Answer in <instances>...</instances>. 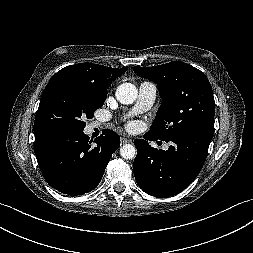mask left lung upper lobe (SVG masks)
I'll return each instance as SVG.
<instances>
[{
	"label": "left lung upper lobe",
	"mask_w": 253,
	"mask_h": 253,
	"mask_svg": "<svg viewBox=\"0 0 253 253\" xmlns=\"http://www.w3.org/2000/svg\"><path fill=\"white\" fill-rule=\"evenodd\" d=\"M133 70L155 82L162 98L149 134L164 141L193 132L213 135L215 101L202 71L181 61Z\"/></svg>",
	"instance_id": "left-lung-upper-lobe-1"
}]
</instances>
